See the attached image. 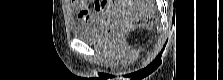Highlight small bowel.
I'll use <instances>...</instances> for the list:
<instances>
[{"label":"small bowel","instance_id":"obj_1","mask_svg":"<svg viewBox=\"0 0 223 80\" xmlns=\"http://www.w3.org/2000/svg\"><path fill=\"white\" fill-rule=\"evenodd\" d=\"M112 6V2H96L94 7L90 8L86 3L72 2L75 15L83 21L97 18L102 13L110 10Z\"/></svg>","mask_w":223,"mask_h":80}]
</instances>
